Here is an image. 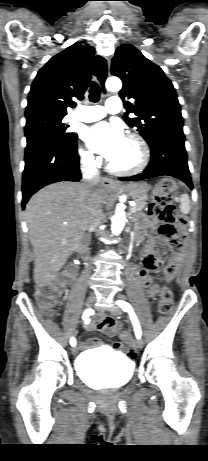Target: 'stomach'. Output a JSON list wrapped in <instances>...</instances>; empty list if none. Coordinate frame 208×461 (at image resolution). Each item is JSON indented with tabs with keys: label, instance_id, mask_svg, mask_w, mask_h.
I'll return each mask as SVG.
<instances>
[{
	"label": "stomach",
	"instance_id": "1",
	"mask_svg": "<svg viewBox=\"0 0 208 461\" xmlns=\"http://www.w3.org/2000/svg\"><path fill=\"white\" fill-rule=\"evenodd\" d=\"M149 189L150 186L146 182H131L117 188L119 191L128 193L135 200L147 196Z\"/></svg>",
	"mask_w": 208,
	"mask_h": 461
}]
</instances>
